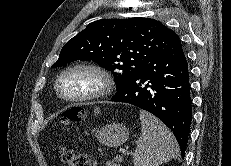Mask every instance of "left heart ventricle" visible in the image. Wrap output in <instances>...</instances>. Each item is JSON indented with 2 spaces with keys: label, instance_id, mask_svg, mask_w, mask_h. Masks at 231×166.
<instances>
[{
  "label": "left heart ventricle",
  "instance_id": "left-heart-ventricle-1",
  "mask_svg": "<svg viewBox=\"0 0 231 166\" xmlns=\"http://www.w3.org/2000/svg\"><path fill=\"white\" fill-rule=\"evenodd\" d=\"M98 85L94 75L86 71H74L67 74L60 82L64 95H81L94 90Z\"/></svg>",
  "mask_w": 231,
  "mask_h": 166
}]
</instances>
